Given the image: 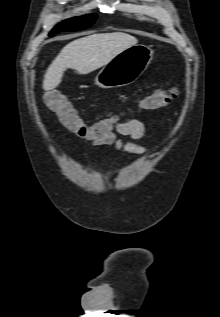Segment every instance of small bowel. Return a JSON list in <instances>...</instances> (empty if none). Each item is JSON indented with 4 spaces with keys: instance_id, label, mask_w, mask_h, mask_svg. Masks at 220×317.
<instances>
[{
    "instance_id": "c3829d8e",
    "label": "small bowel",
    "mask_w": 220,
    "mask_h": 317,
    "mask_svg": "<svg viewBox=\"0 0 220 317\" xmlns=\"http://www.w3.org/2000/svg\"><path fill=\"white\" fill-rule=\"evenodd\" d=\"M145 125L139 120L117 121L114 131L107 134H99L96 125H87L84 131L78 132L77 135L91 142L93 145H114L119 152L140 154L143 147L135 142L145 135ZM120 134L128 140L117 137Z\"/></svg>"
}]
</instances>
